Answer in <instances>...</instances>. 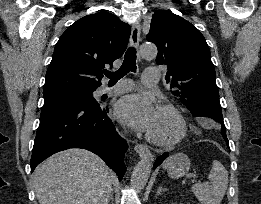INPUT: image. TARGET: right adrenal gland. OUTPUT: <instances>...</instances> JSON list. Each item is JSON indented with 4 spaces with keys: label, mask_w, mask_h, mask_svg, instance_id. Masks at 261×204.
I'll return each mask as SVG.
<instances>
[{
    "label": "right adrenal gland",
    "mask_w": 261,
    "mask_h": 204,
    "mask_svg": "<svg viewBox=\"0 0 261 204\" xmlns=\"http://www.w3.org/2000/svg\"><path fill=\"white\" fill-rule=\"evenodd\" d=\"M109 201H111V204H113V193H111L110 198H109ZM109 201H108V202H109Z\"/></svg>",
    "instance_id": "2a0ac1e0"
}]
</instances>
